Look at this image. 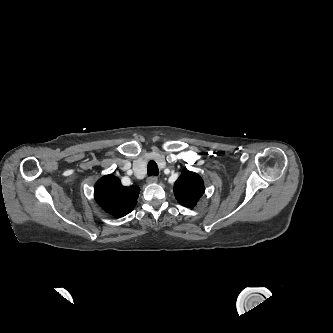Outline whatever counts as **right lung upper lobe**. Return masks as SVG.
I'll use <instances>...</instances> for the list:
<instances>
[{"label": "right lung upper lobe", "mask_w": 333, "mask_h": 333, "mask_svg": "<svg viewBox=\"0 0 333 333\" xmlns=\"http://www.w3.org/2000/svg\"><path fill=\"white\" fill-rule=\"evenodd\" d=\"M139 188L124 187L114 175H106L98 180L94 188V197L98 205L115 217L130 213L137 204Z\"/></svg>", "instance_id": "obj_1"}]
</instances>
